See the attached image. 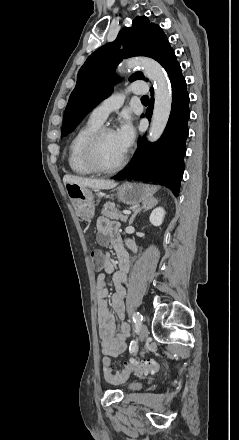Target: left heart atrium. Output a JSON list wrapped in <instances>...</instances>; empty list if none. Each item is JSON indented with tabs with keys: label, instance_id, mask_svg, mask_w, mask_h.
I'll return each mask as SVG.
<instances>
[{
	"label": "left heart atrium",
	"instance_id": "left-heart-atrium-1",
	"mask_svg": "<svg viewBox=\"0 0 239 440\" xmlns=\"http://www.w3.org/2000/svg\"><path fill=\"white\" fill-rule=\"evenodd\" d=\"M114 132L122 148L125 150V152H127L133 143L135 135L134 128L129 116L125 115L121 119L119 126Z\"/></svg>",
	"mask_w": 239,
	"mask_h": 440
}]
</instances>
